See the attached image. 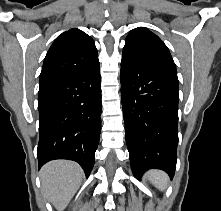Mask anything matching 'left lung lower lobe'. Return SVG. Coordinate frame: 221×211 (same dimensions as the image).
<instances>
[{"instance_id":"1","label":"left lung lower lobe","mask_w":221,"mask_h":211,"mask_svg":"<svg viewBox=\"0 0 221 211\" xmlns=\"http://www.w3.org/2000/svg\"><path fill=\"white\" fill-rule=\"evenodd\" d=\"M125 136L133 174L150 168L174 176L178 144L177 75L130 58L121 61Z\"/></svg>"}]
</instances>
